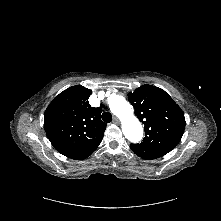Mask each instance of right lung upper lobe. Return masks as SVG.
<instances>
[{
	"label": "right lung upper lobe",
	"mask_w": 221,
	"mask_h": 221,
	"mask_svg": "<svg viewBox=\"0 0 221 221\" xmlns=\"http://www.w3.org/2000/svg\"><path fill=\"white\" fill-rule=\"evenodd\" d=\"M92 91L72 86L47 107L44 128L48 139L62 155L82 160L90 156L102 141L106 123L100 119L102 109L91 107Z\"/></svg>",
	"instance_id": "cb5924a9"
}]
</instances>
